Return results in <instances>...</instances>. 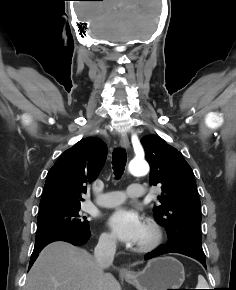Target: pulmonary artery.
Segmentation results:
<instances>
[{
	"mask_svg": "<svg viewBox=\"0 0 236 290\" xmlns=\"http://www.w3.org/2000/svg\"><path fill=\"white\" fill-rule=\"evenodd\" d=\"M144 196V190L140 185L132 184L126 188V192L112 191L107 192L97 199V204L101 207H114L125 201L127 197L130 198H142Z\"/></svg>",
	"mask_w": 236,
	"mask_h": 290,
	"instance_id": "obj_1",
	"label": "pulmonary artery"
}]
</instances>
